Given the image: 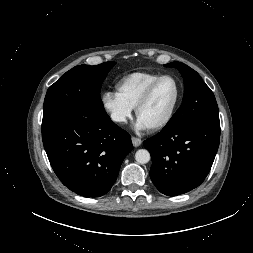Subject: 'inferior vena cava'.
Wrapping results in <instances>:
<instances>
[{"instance_id": "obj_1", "label": "inferior vena cava", "mask_w": 253, "mask_h": 253, "mask_svg": "<svg viewBox=\"0 0 253 253\" xmlns=\"http://www.w3.org/2000/svg\"><path fill=\"white\" fill-rule=\"evenodd\" d=\"M111 119L115 122H124L125 121L124 116L116 114V113L111 114Z\"/></svg>"}]
</instances>
